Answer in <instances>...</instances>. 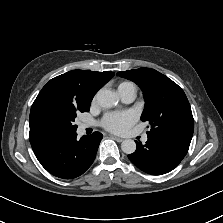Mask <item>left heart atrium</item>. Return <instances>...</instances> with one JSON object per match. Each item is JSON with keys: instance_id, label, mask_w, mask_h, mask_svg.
<instances>
[{"instance_id": "1", "label": "left heart atrium", "mask_w": 223, "mask_h": 223, "mask_svg": "<svg viewBox=\"0 0 223 223\" xmlns=\"http://www.w3.org/2000/svg\"><path fill=\"white\" fill-rule=\"evenodd\" d=\"M138 119L133 110L108 112L102 118L101 124L108 131L114 133L125 132Z\"/></svg>"}]
</instances>
